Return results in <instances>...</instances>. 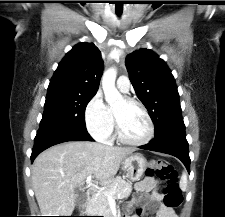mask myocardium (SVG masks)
<instances>
[{"mask_svg":"<svg viewBox=\"0 0 225 217\" xmlns=\"http://www.w3.org/2000/svg\"><path fill=\"white\" fill-rule=\"evenodd\" d=\"M123 99L128 104L136 105V106H138L141 109V111L143 112V114H144V116H145V118L147 120L148 132H147V135L145 136V138H143L142 140L133 141V140L127 139L123 135L121 127H120L119 120H118L115 112L113 111V116H114V119H115V126H116V133H117L118 139L122 143H124L126 145H130V146H143V145L149 143L152 140L153 136H154V124H153L152 118H151L147 108L144 106V104L142 102H140L137 99H134V98H131V97H124Z\"/></svg>","mask_w":225,"mask_h":217,"instance_id":"myocardium-1","label":"myocardium"}]
</instances>
